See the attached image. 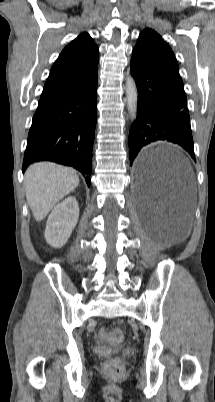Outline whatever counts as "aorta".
I'll list each match as a JSON object with an SVG mask.
<instances>
[{"instance_id": "obj_1", "label": "aorta", "mask_w": 215, "mask_h": 402, "mask_svg": "<svg viewBox=\"0 0 215 402\" xmlns=\"http://www.w3.org/2000/svg\"><path fill=\"white\" fill-rule=\"evenodd\" d=\"M126 100L129 115L132 120L137 117L138 92L134 79L129 76L126 81Z\"/></svg>"}]
</instances>
